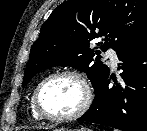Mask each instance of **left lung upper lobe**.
Here are the masks:
<instances>
[{"label":"left lung upper lobe","mask_w":147,"mask_h":131,"mask_svg":"<svg viewBox=\"0 0 147 131\" xmlns=\"http://www.w3.org/2000/svg\"><path fill=\"white\" fill-rule=\"evenodd\" d=\"M147 31V0H68L59 5L42 25L27 62L22 86L39 71L72 66L85 72L96 93L109 68L89 48L95 38L102 51H119Z\"/></svg>","instance_id":"left-lung-upper-lobe-1"}]
</instances>
